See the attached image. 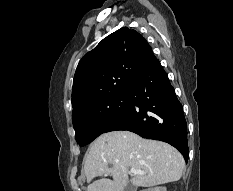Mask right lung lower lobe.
Returning <instances> with one entry per match:
<instances>
[{
  "label": "right lung lower lobe",
  "instance_id": "obj_1",
  "mask_svg": "<svg viewBox=\"0 0 233 191\" xmlns=\"http://www.w3.org/2000/svg\"><path fill=\"white\" fill-rule=\"evenodd\" d=\"M127 97L128 108L103 133L128 130L143 138L161 140L177 148L187 161L189 150L183 108L154 55L128 90Z\"/></svg>",
  "mask_w": 233,
  "mask_h": 191
}]
</instances>
